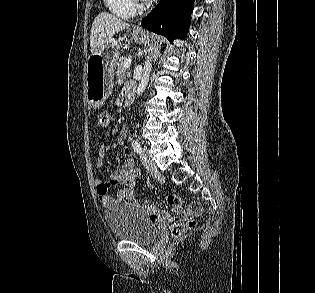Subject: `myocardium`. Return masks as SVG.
<instances>
[{"instance_id": "myocardium-1", "label": "myocardium", "mask_w": 315, "mask_h": 293, "mask_svg": "<svg viewBox=\"0 0 315 293\" xmlns=\"http://www.w3.org/2000/svg\"><path fill=\"white\" fill-rule=\"evenodd\" d=\"M135 11H143L148 8L149 4L143 0H129Z\"/></svg>"}]
</instances>
